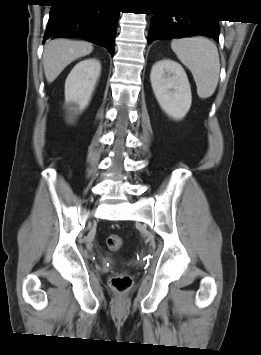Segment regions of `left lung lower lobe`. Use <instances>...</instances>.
I'll return each instance as SVG.
<instances>
[{"mask_svg":"<svg viewBox=\"0 0 261 355\" xmlns=\"http://www.w3.org/2000/svg\"><path fill=\"white\" fill-rule=\"evenodd\" d=\"M203 35L219 40L218 20L209 18L155 15L151 20L148 43L159 38Z\"/></svg>","mask_w":261,"mask_h":355,"instance_id":"left-lung-lower-lobe-1","label":"left lung lower lobe"}]
</instances>
